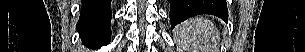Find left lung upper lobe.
<instances>
[{"label": "left lung upper lobe", "mask_w": 305, "mask_h": 52, "mask_svg": "<svg viewBox=\"0 0 305 52\" xmlns=\"http://www.w3.org/2000/svg\"><path fill=\"white\" fill-rule=\"evenodd\" d=\"M202 12L198 9V8H195V9H188L184 12H181L178 14L177 18H176V22L177 23H180L184 20H186L187 18L189 17H192L194 15H198V14H201Z\"/></svg>", "instance_id": "obj_1"}]
</instances>
